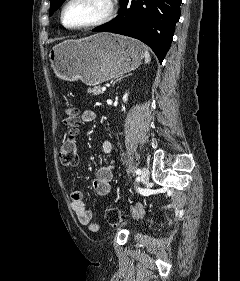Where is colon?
<instances>
[{"label":"colon","mask_w":240,"mask_h":281,"mask_svg":"<svg viewBox=\"0 0 240 281\" xmlns=\"http://www.w3.org/2000/svg\"><path fill=\"white\" fill-rule=\"evenodd\" d=\"M65 113L64 124L67 131L60 147L59 159L64 166L73 167L77 165L79 160L75 139L79 125L78 109L70 105L67 107ZM105 220L110 226H117L122 222L121 212L116 208H110L105 214Z\"/></svg>","instance_id":"obj_1"}]
</instances>
